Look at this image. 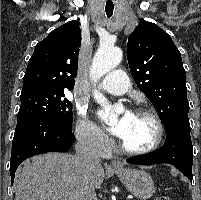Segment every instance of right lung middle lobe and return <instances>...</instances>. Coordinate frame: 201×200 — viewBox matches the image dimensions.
I'll return each mask as SVG.
<instances>
[{"label": "right lung middle lobe", "mask_w": 201, "mask_h": 200, "mask_svg": "<svg viewBox=\"0 0 201 200\" xmlns=\"http://www.w3.org/2000/svg\"><path fill=\"white\" fill-rule=\"evenodd\" d=\"M64 96V91L54 90L22 92L17 121L47 117L72 128V104Z\"/></svg>", "instance_id": "right-lung-middle-lobe-1"}]
</instances>
